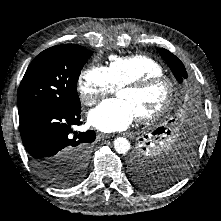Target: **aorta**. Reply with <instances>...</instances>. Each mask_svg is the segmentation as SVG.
<instances>
[{"label":"aorta","instance_id":"aorta-1","mask_svg":"<svg viewBox=\"0 0 221 221\" xmlns=\"http://www.w3.org/2000/svg\"><path fill=\"white\" fill-rule=\"evenodd\" d=\"M130 148V142L126 138L119 137L114 140V149L118 154H126Z\"/></svg>","mask_w":221,"mask_h":221}]
</instances>
